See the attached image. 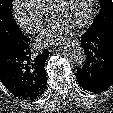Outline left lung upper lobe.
I'll use <instances>...</instances> for the list:
<instances>
[{"mask_svg": "<svg viewBox=\"0 0 113 113\" xmlns=\"http://www.w3.org/2000/svg\"><path fill=\"white\" fill-rule=\"evenodd\" d=\"M101 10L87 31L96 32L110 24H113L112 0H100Z\"/></svg>", "mask_w": 113, "mask_h": 113, "instance_id": "obj_1", "label": "left lung upper lobe"}]
</instances>
